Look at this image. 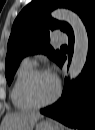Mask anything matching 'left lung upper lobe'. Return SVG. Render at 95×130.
Masks as SVG:
<instances>
[{
    "label": "left lung upper lobe",
    "mask_w": 95,
    "mask_h": 130,
    "mask_svg": "<svg viewBox=\"0 0 95 130\" xmlns=\"http://www.w3.org/2000/svg\"><path fill=\"white\" fill-rule=\"evenodd\" d=\"M58 7L73 10L83 21L95 12L93 0H34L28 4L15 19L9 38L5 70L8 84L12 82L22 58L29 54L44 53L58 61L61 53L49 45L50 33L60 29L68 36L73 34L68 23L51 18L50 12Z\"/></svg>",
    "instance_id": "1"
}]
</instances>
